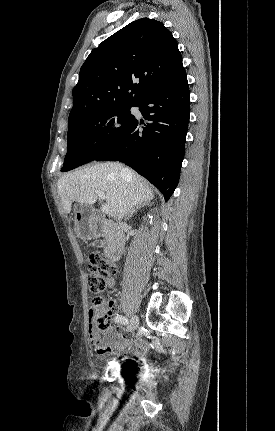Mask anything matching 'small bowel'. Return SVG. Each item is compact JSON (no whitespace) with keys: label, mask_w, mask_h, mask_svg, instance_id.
Listing matches in <instances>:
<instances>
[{"label":"small bowel","mask_w":275,"mask_h":431,"mask_svg":"<svg viewBox=\"0 0 275 431\" xmlns=\"http://www.w3.org/2000/svg\"><path fill=\"white\" fill-rule=\"evenodd\" d=\"M113 283V279L108 280L110 287L113 286ZM114 309L115 304L112 311H114ZM94 314L95 310L90 309L89 338L95 346L96 352L99 356L110 353L141 356L145 352L146 345L140 337L114 334L111 325H109L105 330H98L93 323Z\"/></svg>","instance_id":"1"}]
</instances>
